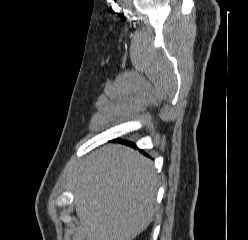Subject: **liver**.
I'll return each mask as SVG.
<instances>
[{
    "mask_svg": "<svg viewBox=\"0 0 248 240\" xmlns=\"http://www.w3.org/2000/svg\"><path fill=\"white\" fill-rule=\"evenodd\" d=\"M157 177L152 162L128 147L108 145L81 165L75 210L87 240H133L153 220Z\"/></svg>",
    "mask_w": 248,
    "mask_h": 240,
    "instance_id": "obj_1",
    "label": "liver"
}]
</instances>
